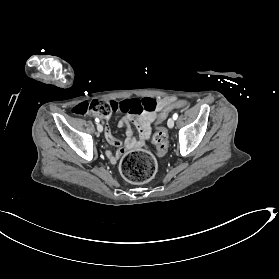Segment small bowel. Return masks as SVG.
<instances>
[{
    "label": "small bowel",
    "instance_id": "obj_1",
    "mask_svg": "<svg viewBox=\"0 0 279 279\" xmlns=\"http://www.w3.org/2000/svg\"><path fill=\"white\" fill-rule=\"evenodd\" d=\"M170 98H159L157 100V108L153 112H144L136 117H132L129 114L124 115L118 122V127H125L126 139L119 140L115 138L112 134L110 126L107 124L105 127V139L107 142L118 150L115 153L111 151H106L108 159L115 163L118 158L124 153L126 149H131L143 145L151 136V123L156 119V111L161 110L166 106L168 102H171ZM132 123H134L139 132L138 139L133 136Z\"/></svg>",
    "mask_w": 279,
    "mask_h": 279
}]
</instances>
